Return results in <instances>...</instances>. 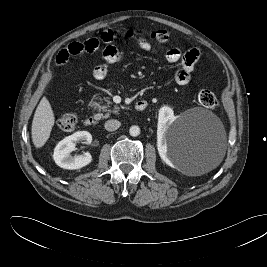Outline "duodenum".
<instances>
[{
  "label": "duodenum",
  "mask_w": 267,
  "mask_h": 267,
  "mask_svg": "<svg viewBox=\"0 0 267 267\" xmlns=\"http://www.w3.org/2000/svg\"><path fill=\"white\" fill-rule=\"evenodd\" d=\"M148 103L146 100H138L135 103V109L137 111H143L147 107ZM98 120L94 116H88L84 119V125L86 126H94L96 125Z\"/></svg>",
  "instance_id": "410a0bca"
}]
</instances>
